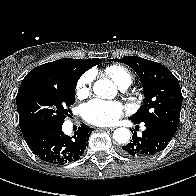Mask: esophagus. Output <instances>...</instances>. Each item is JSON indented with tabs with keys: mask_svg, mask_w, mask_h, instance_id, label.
Returning <instances> with one entry per match:
<instances>
[{
	"mask_svg": "<svg viewBox=\"0 0 196 196\" xmlns=\"http://www.w3.org/2000/svg\"><path fill=\"white\" fill-rule=\"evenodd\" d=\"M107 131H113L115 128L114 127H110V128H104Z\"/></svg>",
	"mask_w": 196,
	"mask_h": 196,
	"instance_id": "esophagus-1",
	"label": "esophagus"
}]
</instances>
